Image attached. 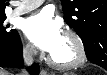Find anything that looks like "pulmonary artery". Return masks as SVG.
Here are the masks:
<instances>
[{"instance_id": "e3ab8cb5", "label": "pulmonary artery", "mask_w": 107, "mask_h": 75, "mask_svg": "<svg viewBox=\"0 0 107 75\" xmlns=\"http://www.w3.org/2000/svg\"><path fill=\"white\" fill-rule=\"evenodd\" d=\"M43 3V0H23L13 10V15H22L29 11L34 10Z\"/></svg>"}]
</instances>
